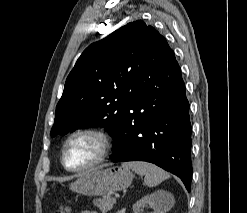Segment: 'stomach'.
<instances>
[{
	"label": "stomach",
	"instance_id": "1",
	"mask_svg": "<svg viewBox=\"0 0 247 213\" xmlns=\"http://www.w3.org/2000/svg\"><path fill=\"white\" fill-rule=\"evenodd\" d=\"M133 174L129 169L115 166L97 168L82 174L70 185V189L86 196H102L130 186Z\"/></svg>",
	"mask_w": 247,
	"mask_h": 213
}]
</instances>
